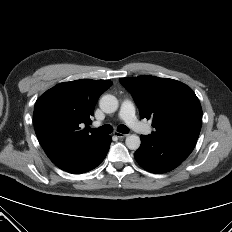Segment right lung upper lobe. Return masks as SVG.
<instances>
[{
  "label": "right lung upper lobe",
  "instance_id": "cb5924a9",
  "mask_svg": "<svg viewBox=\"0 0 232 232\" xmlns=\"http://www.w3.org/2000/svg\"><path fill=\"white\" fill-rule=\"evenodd\" d=\"M111 85L109 80L63 82L36 101L35 132L51 161L66 153L87 149L104 137L89 135L80 125L91 123L90 116L98 98Z\"/></svg>",
  "mask_w": 232,
  "mask_h": 232
}]
</instances>
